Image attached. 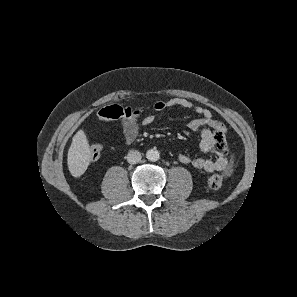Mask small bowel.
<instances>
[{
	"label": "small bowel",
	"instance_id": "1",
	"mask_svg": "<svg viewBox=\"0 0 297 297\" xmlns=\"http://www.w3.org/2000/svg\"><path fill=\"white\" fill-rule=\"evenodd\" d=\"M185 108L193 110L198 117L191 119L187 123V128L192 132L200 133L199 148L202 153H208L212 149L213 137L216 131L224 133L223 124L212 117L210 110L200 105H196L190 100L184 98H172L166 101H156L153 109L161 112L170 108ZM154 114H146L141 108L135 110V113L129 117H123L121 120V128L126 144L135 141L139 131V124L150 125L155 121ZM179 160L183 164L191 165L198 171L213 173L216 171H224L229 166V160L226 156H218L215 159H206L202 157H190L186 154H180Z\"/></svg>",
	"mask_w": 297,
	"mask_h": 297
}]
</instances>
